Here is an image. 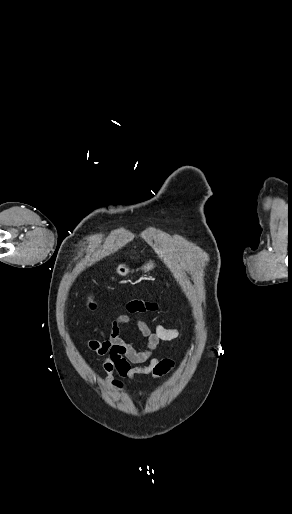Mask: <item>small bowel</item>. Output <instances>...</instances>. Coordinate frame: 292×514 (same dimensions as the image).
Instances as JSON below:
<instances>
[{"label": "small bowel", "mask_w": 292, "mask_h": 514, "mask_svg": "<svg viewBox=\"0 0 292 514\" xmlns=\"http://www.w3.org/2000/svg\"><path fill=\"white\" fill-rule=\"evenodd\" d=\"M132 324L136 326L147 339L143 350L135 349L121 336L123 326ZM102 339H88L86 346L102 356V369L106 376L104 382L112 388H122L124 380L133 381L137 376H151L153 379L167 375L175 366L171 358H160L153 353L160 342L173 341L180 336L177 328H168L158 324L154 330L142 320L135 319L127 314L119 315L114 319L108 331L95 327L92 331ZM94 379L98 378V370L95 366L90 369ZM116 372L120 378L113 374Z\"/></svg>", "instance_id": "obj_1"}]
</instances>
